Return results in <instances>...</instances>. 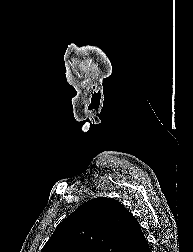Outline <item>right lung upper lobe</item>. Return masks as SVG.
Wrapping results in <instances>:
<instances>
[{
  "mask_svg": "<svg viewBox=\"0 0 193 252\" xmlns=\"http://www.w3.org/2000/svg\"><path fill=\"white\" fill-rule=\"evenodd\" d=\"M143 236L138 221L120 202L99 197L64 219L41 252H130Z\"/></svg>",
  "mask_w": 193,
  "mask_h": 252,
  "instance_id": "obj_1",
  "label": "right lung upper lobe"
}]
</instances>
